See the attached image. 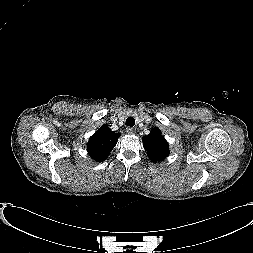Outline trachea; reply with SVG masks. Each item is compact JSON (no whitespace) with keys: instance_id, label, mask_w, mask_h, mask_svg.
<instances>
[{"instance_id":"obj_1","label":"trachea","mask_w":253,"mask_h":253,"mask_svg":"<svg viewBox=\"0 0 253 253\" xmlns=\"http://www.w3.org/2000/svg\"><path fill=\"white\" fill-rule=\"evenodd\" d=\"M135 124V119L133 117H128L126 119V125L129 127H133Z\"/></svg>"}]
</instances>
